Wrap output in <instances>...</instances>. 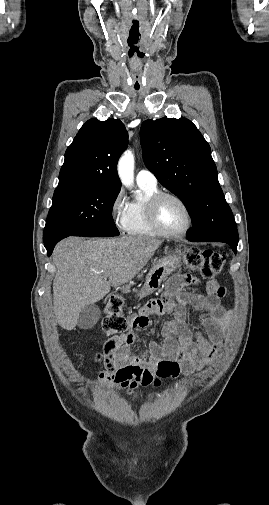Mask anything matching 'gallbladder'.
I'll return each mask as SVG.
<instances>
[{"instance_id": "obj_1", "label": "gallbladder", "mask_w": 269, "mask_h": 505, "mask_svg": "<svg viewBox=\"0 0 269 505\" xmlns=\"http://www.w3.org/2000/svg\"><path fill=\"white\" fill-rule=\"evenodd\" d=\"M100 316L101 310L97 305H87L79 313L78 326L82 329H90L97 323Z\"/></svg>"}]
</instances>
